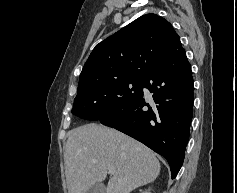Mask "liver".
Masks as SVG:
<instances>
[{
  "mask_svg": "<svg viewBox=\"0 0 237 193\" xmlns=\"http://www.w3.org/2000/svg\"><path fill=\"white\" fill-rule=\"evenodd\" d=\"M65 175L68 193H85L107 176L106 193H130L153 182L160 173L155 154L133 138L95 123L73 129L65 153Z\"/></svg>",
  "mask_w": 237,
  "mask_h": 193,
  "instance_id": "1",
  "label": "liver"
}]
</instances>
